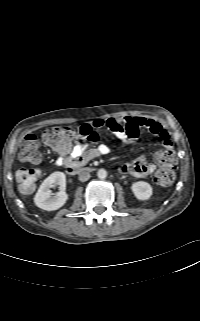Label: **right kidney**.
<instances>
[{
	"label": "right kidney",
	"mask_w": 200,
	"mask_h": 321,
	"mask_svg": "<svg viewBox=\"0 0 200 321\" xmlns=\"http://www.w3.org/2000/svg\"><path fill=\"white\" fill-rule=\"evenodd\" d=\"M59 186V192L55 195L51 188ZM66 189V176L63 172H54L50 174L40 185L35 197L34 203L43 210L53 211L61 208L67 201L68 195ZM54 195V196H53Z\"/></svg>",
	"instance_id": "right-kidney-1"
}]
</instances>
